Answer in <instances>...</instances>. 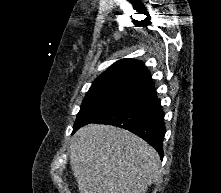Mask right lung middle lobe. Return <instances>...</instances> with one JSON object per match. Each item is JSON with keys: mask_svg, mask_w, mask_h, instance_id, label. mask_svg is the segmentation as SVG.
Masks as SVG:
<instances>
[{"mask_svg": "<svg viewBox=\"0 0 221 193\" xmlns=\"http://www.w3.org/2000/svg\"><path fill=\"white\" fill-rule=\"evenodd\" d=\"M145 88L129 84H109L92 88L86 94L74 124V131L119 108L138 96Z\"/></svg>", "mask_w": 221, "mask_h": 193, "instance_id": "obj_1", "label": "right lung middle lobe"}]
</instances>
